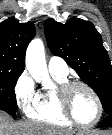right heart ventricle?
<instances>
[{
  "instance_id": "1",
  "label": "right heart ventricle",
  "mask_w": 112,
  "mask_h": 135,
  "mask_svg": "<svg viewBox=\"0 0 112 135\" xmlns=\"http://www.w3.org/2000/svg\"><path fill=\"white\" fill-rule=\"evenodd\" d=\"M51 75L55 82L54 87L52 89H46L38 92L36 101L28 110L27 115L29 118L39 122L56 126H69L72 123L60 110L56 96L57 87L68 82V78L67 76L52 73Z\"/></svg>"
}]
</instances>
